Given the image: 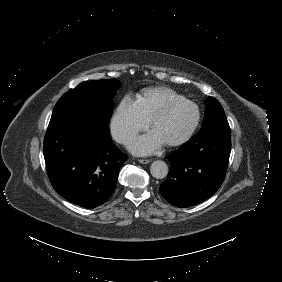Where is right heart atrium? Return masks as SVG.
Instances as JSON below:
<instances>
[{
	"mask_svg": "<svg viewBox=\"0 0 282 282\" xmlns=\"http://www.w3.org/2000/svg\"><path fill=\"white\" fill-rule=\"evenodd\" d=\"M150 119L138 102L130 96L123 98L111 120V131L116 140L127 143L136 133L145 130Z\"/></svg>",
	"mask_w": 282,
	"mask_h": 282,
	"instance_id": "obj_1",
	"label": "right heart atrium"
}]
</instances>
